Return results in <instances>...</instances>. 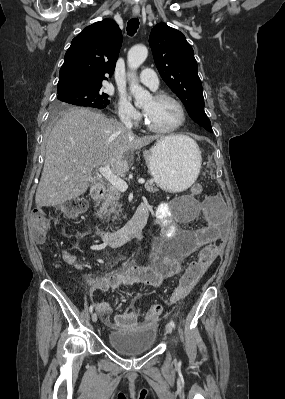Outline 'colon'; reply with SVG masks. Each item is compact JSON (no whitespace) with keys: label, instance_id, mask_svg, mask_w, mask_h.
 Returning a JSON list of instances; mask_svg holds the SVG:
<instances>
[{"label":"colon","instance_id":"5ec220e1","mask_svg":"<svg viewBox=\"0 0 285 399\" xmlns=\"http://www.w3.org/2000/svg\"><path fill=\"white\" fill-rule=\"evenodd\" d=\"M191 193L193 196H199L202 193L201 185L194 184L191 187ZM85 208V201L72 200L66 205L55 208L49 212L42 209H34L28 221L30 234L33 240L37 243H42L47 240L48 232L51 227V220L56 216L63 215L69 218H76ZM218 246V243H214L204 247L201 258L191 262L187 266L184 275L180 279V285L177 291L180 296L186 294L191 289L192 285L206 272ZM161 312L162 306L156 304L142 311V314L147 321H154L160 316Z\"/></svg>","mask_w":285,"mask_h":399}]
</instances>
